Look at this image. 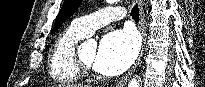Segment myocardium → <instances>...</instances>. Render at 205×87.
Listing matches in <instances>:
<instances>
[{"instance_id":"myocardium-1","label":"myocardium","mask_w":205,"mask_h":87,"mask_svg":"<svg viewBox=\"0 0 205 87\" xmlns=\"http://www.w3.org/2000/svg\"><path fill=\"white\" fill-rule=\"evenodd\" d=\"M74 61L82 76L93 74L92 66H90L89 64L83 61L78 48H75V51H74Z\"/></svg>"}]
</instances>
